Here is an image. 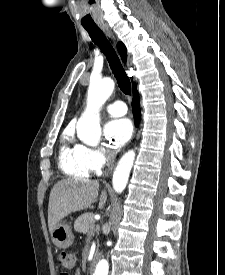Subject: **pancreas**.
Instances as JSON below:
<instances>
[{"instance_id":"pancreas-1","label":"pancreas","mask_w":225,"mask_h":275,"mask_svg":"<svg viewBox=\"0 0 225 275\" xmlns=\"http://www.w3.org/2000/svg\"><path fill=\"white\" fill-rule=\"evenodd\" d=\"M74 229L76 232L92 235L94 231L99 230V226H95V220L92 214L84 213L76 219Z\"/></svg>"}]
</instances>
